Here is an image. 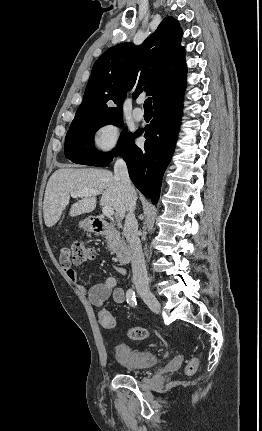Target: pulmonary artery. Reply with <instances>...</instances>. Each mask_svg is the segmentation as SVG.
Returning a JSON list of instances; mask_svg holds the SVG:
<instances>
[{
  "instance_id": "obj_1",
  "label": "pulmonary artery",
  "mask_w": 262,
  "mask_h": 431,
  "mask_svg": "<svg viewBox=\"0 0 262 431\" xmlns=\"http://www.w3.org/2000/svg\"><path fill=\"white\" fill-rule=\"evenodd\" d=\"M142 102H143V99H138V103H142ZM132 114L136 121H141L144 119V111L140 108H135Z\"/></svg>"
}]
</instances>
